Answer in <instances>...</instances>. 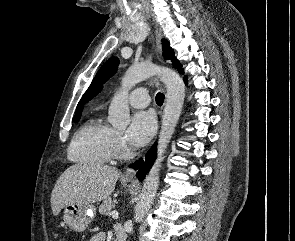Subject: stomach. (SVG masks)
Instances as JSON below:
<instances>
[{
	"label": "stomach",
	"instance_id": "obj_1",
	"mask_svg": "<svg viewBox=\"0 0 295 241\" xmlns=\"http://www.w3.org/2000/svg\"><path fill=\"white\" fill-rule=\"evenodd\" d=\"M127 183L128 181H123ZM96 215V208L92 204H70L64 209V221L75 232H83Z\"/></svg>",
	"mask_w": 295,
	"mask_h": 241
}]
</instances>
